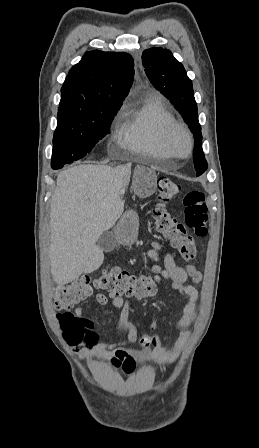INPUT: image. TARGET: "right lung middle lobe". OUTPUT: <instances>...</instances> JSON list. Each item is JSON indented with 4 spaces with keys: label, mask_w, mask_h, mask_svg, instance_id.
Returning a JSON list of instances; mask_svg holds the SVG:
<instances>
[{
    "label": "right lung middle lobe",
    "mask_w": 259,
    "mask_h": 448,
    "mask_svg": "<svg viewBox=\"0 0 259 448\" xmlns=\"http://www.w3.org/2000/svg\"><path fill=\"white\" fill-rule=\"evenodd\" d=\"M118 110L110 108L58 114L53 137L52 169H60L91 152L94 145L109 133L110 124Z\"/></svg>",
    "instance_id": "dd1d6c3e"
}]
</instances>
